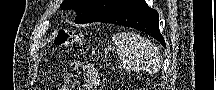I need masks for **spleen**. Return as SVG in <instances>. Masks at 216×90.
Segmentation results:
<instances>
[{
  "instance_id": "obj_1",
  "label": "spleen",
  "mask_w": 216,
  "mask_h": 90,
  "mask_svg": "<svg viewBox=\"0 0 216 90\" xmlns=\"http://www.w3.org/2000/svg\"><path fill=\"white\" fill-rule=\"evenodd\" d=\"M114 44L121 62L133 72H150L160 62L155 46L140 34H116Z\"/></svg>"
}]
</instances>
